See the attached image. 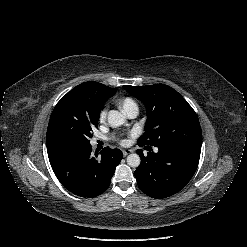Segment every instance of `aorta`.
I'll return each instance as SVG.
<instances>
[{
	"label": "aorta",
	"instance_id": "1",
	"mask_svg": "<svg viewBox=\"0 0 247 247\" xmlns=\"http://www.w3.org/2000/svg\"><path fill=\"white\" fill-rule=\"evenodd\" d=\"M108 122L111 127H118L126 122V115L123 112L117 110H111L108 112ZM141 159L138 154L133 153L128 155L127 164L131 167H138Z\"/></svg>",
	"mask_w": 247,
	"mask_h": 247
}]
</instances>
